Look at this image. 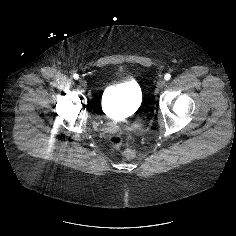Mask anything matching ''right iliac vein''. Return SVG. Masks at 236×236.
Segmentation results:
<instances>
[{"instance_id":"right-iliac-vein-1","label":"right iliac vein","mask_w":236,"mask_h":236,"mask_svg":"<svg viewBox=\"0 0 236 236\" xmlns=\"http://www.w3.org/2000/svg\"><path fill=\"white\" fill-rule=\"evenodd\" d=\"M79 83H80L82 86H84V87L87 85L86 80L83 79V78H80V79H79Z\"/></svg>"}]
</instances>
